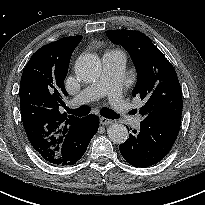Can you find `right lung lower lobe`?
Returning <instances> with one entry per match:
<instances>
[{
  "label": "right lung lower lobe",
  "instance_id": "98d812e1",
  "mask_svg": "<svg viewBox=\"0 0 205 205\" xmlns=\"http://www.w3.org/2000/svg\"><path fill=\"white\" fill-rule=\"evenodd\" d=\"M98 130L96 116L83 117L66 133L63 142L49 163L59 166L75 164L86 152L92 137Z\"/></svg>",
  "mask_w": 205,
  "mask_h": 205
}]
</instances>
